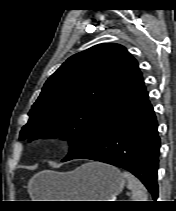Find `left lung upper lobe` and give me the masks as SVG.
I'll use <instances>...</instances> for the list:
<instances>
[{
	"instance_id": "obj_1",
	"label": "left lung upper lobe",
	"mask_w": 176,
	"mask_h": 211,
	"mask_svg": "<svg viewBox=\"0 0 176 211\" xmlns=\"http://www.w3.org/2000/svg\"><path fill=\"white\" fill-rule=\"evenodd\" d=\"M146 91L137 61L126 48L99 44L64 62L46 81L20 140H70L68 161L85 149L105 120Z\"/></svg>"
}]
</instances>
